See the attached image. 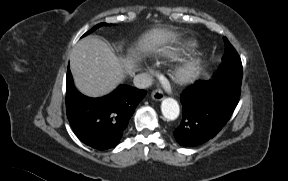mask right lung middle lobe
Listing matches in <instances>:
<instances>
[{"instance_id":"1","label":"right lung middle lobe","mask_w":288,"mask_h":181,"mask_svg":"<svg viewBox=\"0 0 288 181\" xmlns=\"http://www.w3.org/2000/svg\"><path fill=\"white\" fill-rule=\"evenodd\" d=\"M103 25H107V24H106V23H100V24L94 26V27H93L91 30H89L88 32H86L83 36H85V35L93 32L95 29H97V28H99L100 26H103Z\"/></svg>"}]
</instances>
